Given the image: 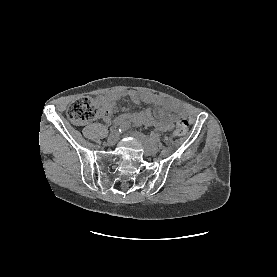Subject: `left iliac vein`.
Returning a JSON list of instances; mask_svg holds the SVG:
<instances>
[{"label": "left iliac vein", "mask_w": 277, "mask_h": 277, "mask_svg": "<svg viewBox=\"0 0 277 277\" xmlns=\"http://www.w3.org/2000/svg\"><path fill=\"white\" fill-rule=\"evenodd\" d=\"M132 135L137 138L148 156H154L158 153L159 149L155 142H153L148 136L142 134L141 132H133Z\"/></svg>", "instance_id": "4c4485c4"}]
</instances>
